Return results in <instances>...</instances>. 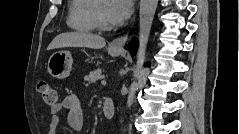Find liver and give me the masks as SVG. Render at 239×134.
Wrapping results in <instances>:
<instances>
[{
	"label": "liver",
	"instance_id": "6515ba94",
	"mask_svg": "<svg viewBox=\"0 0 239 134\" xmlns=\"http://www.w3.org/2000/svg\"><path fill=\"white\" fill-rule=\"evenodd\" d=\"M106 44L104 38L85 32H68L57 35L48 46V50L65 47H87L93 49L103 48Z\"/></svg>",
	"mask_w": 239,
	"mask_h": 134
}]
</instances>
